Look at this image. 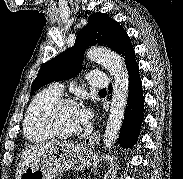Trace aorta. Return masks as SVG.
I'll return each mask as SVG.
<instances>
[{"label": "aorta", "instance_id": "1", "mask_svg": "<svg viewBox=\"0 0 183 179\" xmlns=\"http://www.w3.org/2000/svg\"><path fill=\"white\" fill-rule=\"evenodd\" d=\"M86 57L101 63L114 77L110 114L104 134V149H110L115 143L125 114L128 98L129 76L122 58L115 52L101 47L87 50Z\"/></svg>", "mask_w": 183, "mask_h": 179}]
</instances>
